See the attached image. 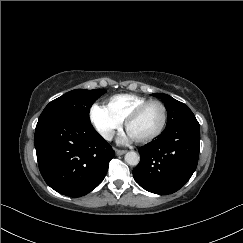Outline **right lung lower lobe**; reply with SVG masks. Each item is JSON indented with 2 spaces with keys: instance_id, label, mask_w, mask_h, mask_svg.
<instances>
[{
  "instance_id": "98d812e1",
  "label": "right lung lower lobe",
  "mask_w": 243,
  "mask_h": 243,
  "mask_svg": "<svg viewBox=\"0 0 243 243\" xmlns=\"http://www.w3.org/2000/svg\"><path fill=\"white\" fill-rule=\"evenodd\" d=\"M35 148L45 182L70 197L83 196L96 188L115 156L91 122L62 117L37 123Z\"/></svg>"
}]
</instances>
